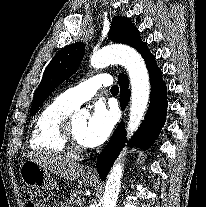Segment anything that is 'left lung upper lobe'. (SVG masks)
Segmentation results:
<instances>
[{"instance_id": "1", "label": "left lung upper lobe", "mask_w": 206, "mask_h": 207, "mask_svg": "<svg viewBox=\"0 0 206 207\" xmlns=\"http://www.w3.org/2000/svg\"><path fill=\"white\" fill-rule=\"evenodd\" d=\"M110 40L134 47L140 54L147 49L137 28L127 17H114L108 34ZM85 52L83 43L68 45L61 49L48 64L38 86L30 115H33L49 94L78 68ZM121 75V74H120Z\"/></svg>"}]
</instances>
